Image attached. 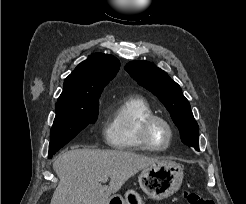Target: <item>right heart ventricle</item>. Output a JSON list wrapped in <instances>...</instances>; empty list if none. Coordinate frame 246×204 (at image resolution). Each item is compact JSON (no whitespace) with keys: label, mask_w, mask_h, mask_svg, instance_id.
Returning a JSON list of instances; mask_svg holds the SVG:
<instances>
[{"label":"right heart ventricle","mask_w":246,"mask_h":204,"mask_svg":"<svg viewBox=\"0 0 246 204\" xmlns=\"http://www.w3.org/2000/svg\"><path fill=\"white\" fill-rule=\"evenodd\" d=\"M152 114L153 107L142 96L130 95L118 100L108 110L104 125L107 145L117 150H144L138 132L143 120Z\"/></svg>","instance_id":"1"}]
</instances>
